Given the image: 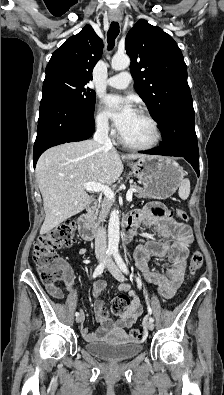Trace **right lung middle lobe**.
<instances>
[{
  "label": "right lung middle lobe",
  "mask_w": 224,
  "mask_h": 395,
  "mask_svg": "<svg viewBox=\"0 0 224 395\" xmlns=\"http://www.w3.org/2000/svg\"><path fill=\"white\" fill-rule=\"evenodd\" d=\"M87 82L76 80L62 74L45 77L43 96L56 98L81 111L94 112L95 92L85 87Z\"/></svg>",
  "instance_id": "1"
}]
</instances>
